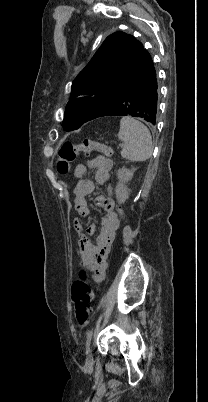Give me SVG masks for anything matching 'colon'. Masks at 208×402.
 <instances>
[{
    "mask_svg": "<svg viewBox=\"0 0 208 402\" xmlns=\"http://www.w3.org/2000/svg\"><path fill=\"white\" fill-rule=\"evenodd\" d=\"M101 152L105 156H110L112 151L109 147L92 140H84L82 143L73 144L64 141L58 150L59 159L55 167L59 174L66 175L70 171L71 165L77 160L80 153ZM124 216L123 211H119ZM96 292L91 287L85 269H80L79 279L72 284V299L76 307V319L80 326H84L89 319L95 305Z\"/></svg>",
    "mask_w": 208,
    "mask_h": 402,
    "instance_id": "colon-1",
    "label": "colon"
}]
</instances>
